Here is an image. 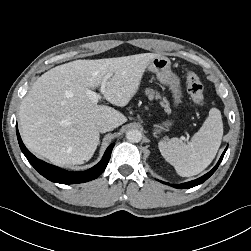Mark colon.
I'll use <instances>...</instances> for the list:
<instances>
[{"mask_svg":"<svg viewBox=\"0 0 251 251\" xmlns=\"http://www.w3.org/2000/svg\"><path fill=\"white\" fill-rule=\"evenodd\" d=\"M186 88L191 100L197 105H203L204 88L198 75L192 70L186 71Z\"/></svg>","mask_w":251,"mask_h":251,"instance_id":"1","label":"colon"}]
</instances>
